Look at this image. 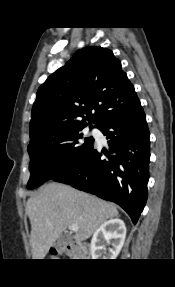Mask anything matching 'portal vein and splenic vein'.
I'll use <instances>...</instances> for the list:
<instances>
[{"instance_id": "18ae733b", "label": "portal vein and splenic vein", "mask_w": 175, "mask_h": 287, "mask_svg": "<svg viewBox=\"0 0 175 287\" xmlns=\"http://www.w3.org/2000/svg\"><path fill=\"white\" fill-rule=\"evenodd\" d=\"M70 229L73 230V231H77V230H78L77 224H72V225L70 226Z\"/></svg>"}]
</instances>
